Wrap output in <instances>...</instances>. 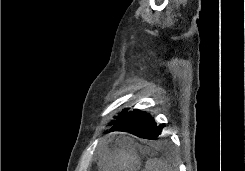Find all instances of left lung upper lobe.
<instances>
[{
	"label": "left lung upper lobe",
	"instance_id": "5c2ea615",
	"mask_svg": "<svg viewBox=\"0 0 245 171\" xmlns=\"http://www.w3.org/2000/svg\"><path fill=\"white\" fill-rule=\"evenodd\" d=\"M127 112V109H124L121 113H120V115H118V116H115L114 118L116 119V121H118L125 113ZM115 121V122H116Z\"/></svg>",
	"mask_w": 245,
	"mask_h": 171
}]
</instances>
